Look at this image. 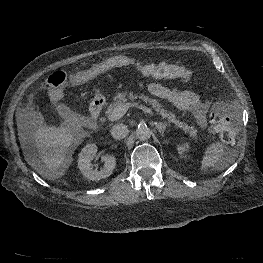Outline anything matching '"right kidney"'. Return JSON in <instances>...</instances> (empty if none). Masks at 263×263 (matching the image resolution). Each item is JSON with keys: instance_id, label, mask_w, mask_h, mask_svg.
I'll list each match as a JSON object with an SVG mask.
<instances>
[{"instance_id": "right-kidney-1", "label": "right kidney", "mask_w": 263, "mask_h": 263, "mask_svg": "<svg viewBox=\"0 0 263 263\" xmlns=\"http://www.w3.org/2000/svg\"><path fill=\"white\" fill-rule=\"evenodd\" d=\"M97 156V146L95 144H87L79 153L78 167L81 173L89 180L99 181L109 177L115 166L116 159L112 155L101 156L105 166L101 171L94 170L91 166V161Z\"/></svg>"}]
</instances>
